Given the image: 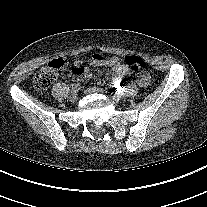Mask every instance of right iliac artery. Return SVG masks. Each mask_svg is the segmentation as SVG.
<instances>
[{"label":"right iliac artery","mask_w":207,"mask_h":207,"mask_svg":"<svg viewBox=\"0 0 207 207\" xmlns=\"http://www.w3.org/2000/svg\"><path fill=\"white\" fill-rule=\"evenodd\" d=\"M79 89H80V84L78 83L73 84L71 87L72 92H78Z\"/></svg>","instance_id":"82829eb1"}]
</instances>
